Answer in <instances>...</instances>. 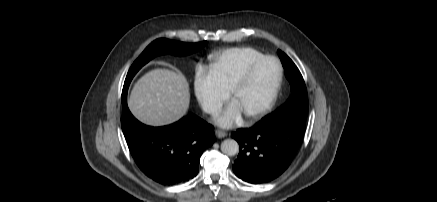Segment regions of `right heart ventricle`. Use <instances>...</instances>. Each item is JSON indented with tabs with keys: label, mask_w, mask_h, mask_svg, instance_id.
Here are the masks:
<instances>
[{
	"label": "right heart ventricle",
	"mask_w": 437,
	"mask_h": 202,
	"mask_svg": "<svg viewBox=\"0 0 437 202\" xmlns=\"http://www.w3.org/2000/svg\"><path fill=\"white\" fill-rule=\"evenodd\" d=\"M263 56V53L252 47H233L212 56L210 68L221 84L230 91L248 65Z\"/></svg>",
	"instance_id": "obj_1"
}]
</instances>
